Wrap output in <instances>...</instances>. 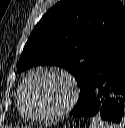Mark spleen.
Segmentation results:
<instances>
[{
  "mask_svg": "<svg viewBox=\"0 0 125 128\" xmlns=\"http://www.w3.org/2000/svg\"><path fill=\"white\" fill-rule=\"evenodd\" d=\"M90 122V128H113L112 125L102 121L99 117H92Z\"/></svg>",
  "mask_w": 125,
  "mask_h": 128,
  "instance_id": "spleen-1",
  "label": "spleen"
}]
</instances>
